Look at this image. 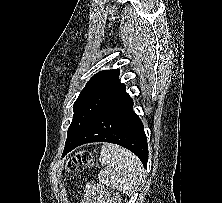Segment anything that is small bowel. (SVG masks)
<instances>
[{"mask_svg": "<svg viewBox=\"0 0 222 203\" xmlns=\"http://www.w3.org/2000/svg\"><path fill=\"white\" fill-rule=\"evenodd\" d=\"M84 203H111L110 196L97 185H90L86 190Z\"/></svg>", "mask_w": 222, "mask_h": 203, "instance_id": "obj_1", "label": "small bowel"}]
</instances>
